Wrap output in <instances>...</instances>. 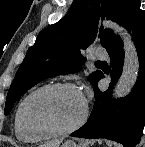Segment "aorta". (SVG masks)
I'll return each mask as SVG.
<instances>
[{
    "instance_id": "aorta-1",
    "label": "aorta",
    "mask_w": 145,
    "mask_h": 147,
    "mask_svg": "<svg viewBox=\"0 0 145 147\" xmlns=\"http://www.w3.org/2000/svg\"><path fill=\"white\" fill-rule=\"evenodd\" d=\"M105 25L120 36L123 41L125 53L123 71L113 91L114 98H123L130 93L137 81L139 58L136 47L126 29L113 22H108Z\"/></svg>"
}]
</instances>
